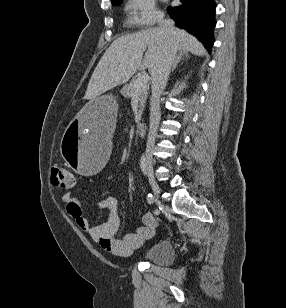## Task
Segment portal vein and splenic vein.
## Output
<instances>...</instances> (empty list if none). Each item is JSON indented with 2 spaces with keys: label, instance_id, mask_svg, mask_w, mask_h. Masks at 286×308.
Returning a JSON list of instances; mask_svg holds the SVG:
<instances>
[{
  "label": "portal vein and splenic vein",
  "instance_id": "portal-vein-and-splenic-vein-1",
  "mask_svg": "<svg viewBox=\"0 0 286 308\" xmlns=\"http://www.w3.org/2000/svg\"><path fill=\"white\" fill-rule=\"evenodd\" d=\"M148 80H149V75H148V73L143 72L142 75H140V76L137 78V82H136V84H135L136 91L142 90V89L147 85Z\"/></svg>",
  "mask_w": 286,
  "mask_h": 308
}]
</instances>
